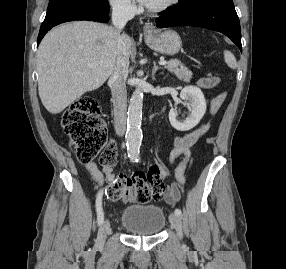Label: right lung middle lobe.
Returning <instances> with one entry per match:
<instances>
[{"label": "right lung middle lobe", "mask_w": 286, "mask_h": 269, "mask_svg": "<svg viewBox=\"0 0 286 269\" xmlns=\"http://www.w3.org/2000/svg\"><path fill=\"white\" fill-rule=\"evenodd\" d=\"M76 7H86L102 12H109L107 0H50L46 16Z\"/></svg>", "instance_id": "1"}]
</instances>
